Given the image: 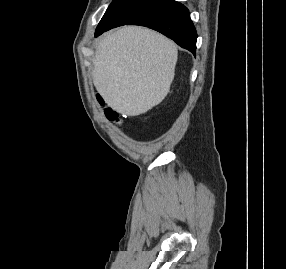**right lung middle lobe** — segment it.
I'll use <instances>...</instances> for the list:
<instances>
[{"label": "right lung middle lobe", "instance_id": "dd1d6c3e", "mask_svg": "<svg viewBox=\"0 0 286 269\" xmlns=\"http://www.w3.org/2000/svg\"><path fill=\"white\" fill-rule=\"evenodd\" d=\"M162 0H113L102 17L96 31L125 25L131 19Z\"/></svg>", "mask_w": 286, "mask_h": 269}]
</instances>
